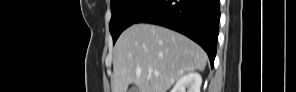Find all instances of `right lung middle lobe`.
Instances as JSON below:
<instances>
[{"mask_svg": "<svg viewBox=\"0 0 296 92\" xmlns=\"http://www.w3.org/2000/svg\"><path fill=\"white\" fill-rule=\"evenodd\" d=\"M158 0H111L112 18L109 29L113 43L121 32L148 11Z\"/></svg>", "mask_w": 296, "mask_h": 92, "instance_id": "dd1d6c3e", "label": "right lung middle lobe"}]
</instances>
